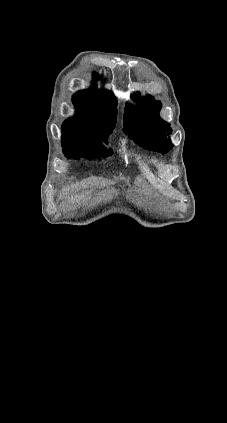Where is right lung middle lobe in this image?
Returning <instances> with one entry per match:
<instances>
[{"label": "right lung middle lobe", "instance_id": "right-lung-middle-lobe-1", "mask_svg": "<svg viewBox=\"0 0 227 423\" xmlns=\"http://www.w3.org/2000/svg\"><path fill=\"white\" fill-rule=\"evenodd\" d=\"M102 140L106 142V139L87 142L63 141L62 146L64 148L65 156L69 159L78 157L92 158V155L107 157L112 154V151L111 149L107 150L103 146Z\"/></svg>", "mask_w": 227, "mask_h": 423}]
</instances>
